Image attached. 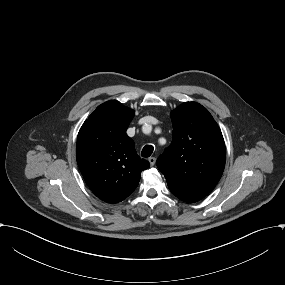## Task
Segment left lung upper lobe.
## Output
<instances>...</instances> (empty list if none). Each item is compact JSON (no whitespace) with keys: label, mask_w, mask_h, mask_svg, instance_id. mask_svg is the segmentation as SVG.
Wrapping results in <instances>:
<instances>
[{"label":"left lung upper lobe","mask_w":285,"mask_h":285,"mask_svg":"<svg viewBox=\"0 0 285 285\" xmlns=\"http://www.w3.org/2000/svg\"><path fill=\"white\" fill-rule=\"evenodd\" d=\"M172 143L157 159L170 191L185 202L208 195L220 180L226 160L225 143L211 114L196 102L171 112Z\"/></svg>","instance_id":"left-lung-upper-lobe-1"}]
</instances>
